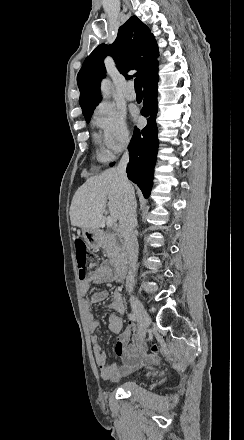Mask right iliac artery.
<instances>
[{
	"label": "right iliac artery",
	"mask_w": 244,
	"mask_h": 440,
	"mask_svg": "<svg viewBox=\"0 0 244 440\" xmlns=\"http://www.w3.org/2000/svg\"><path fill=\"white\" fill-rule=\"evenodd\" d=\"M128 318H129V320H131L133 322L138 321V317H137V315L135 313L128 314Z\"/></svg>",
	"instance_id": "right-iliac-artery-1"
}]
</instances>
